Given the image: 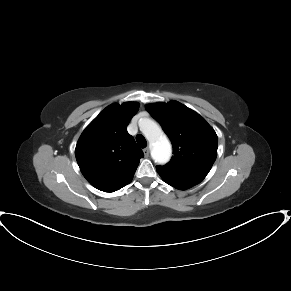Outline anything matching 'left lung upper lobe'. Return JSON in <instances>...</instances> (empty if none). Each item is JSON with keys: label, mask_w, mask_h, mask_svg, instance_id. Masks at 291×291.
<instances>
[{"label": "left lung upper lobe", "mask_w": 291, "mask_h": 291, "mask_svg": "<svg viewBox=\"0 0 291 291\" xmlns=\"http://www.w3.org/2000/svg\"><path fill=\"white\" fill-rule=\"evenodd\" d=\"M173 145V156L156 166L169 184L192 187L210 171L217 156L218 138L213 128L195 111L177 101L147 105Z\"/></svg>", "instance_id": "1"}]
</instances>
